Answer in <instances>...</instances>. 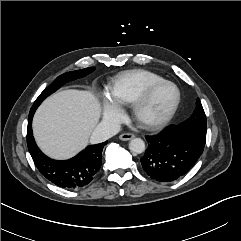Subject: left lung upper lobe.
Instances as JSON below:
<instances>
[{"label": "left lung upper lobe", "mask_w": 241, "mask_h": 241, "mask_svg": "<svg viewBox=\"0 0 241 241\" xmlns=\"http://www.w3.org/2000/svg\"><path fill=\"white\" fill-rule=\"evenodd\" d=\"M178 126L190 130L197 136L200 142L205 144L207 131L206 116L199 99H197L193 114Z\"/></svg>", "instance_id": "5c2ea615"}]
</instances>
